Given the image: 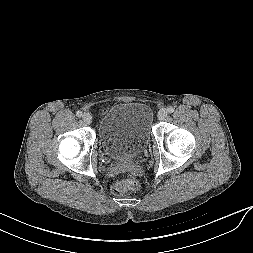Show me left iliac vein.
<instances>
[{
  "mask_svg": "<svg viewBox=\"0 0 253 253\" xmlns=\"http://www.w3.org/2000/svg\"><path fill=\"white\" fill-rule=\"evenodd\" d=\"M167 115H168L167 109L162 108V109L159 110V112L157 114V117H158L159 120L163 121V120L166 119Z\"/></svg>",
  "mask_w": 253,
  "mask_h": 253,
  "instance_id": "left-iliac-vein-1",
  "label": "left iliac vein"
}]
</instances>
